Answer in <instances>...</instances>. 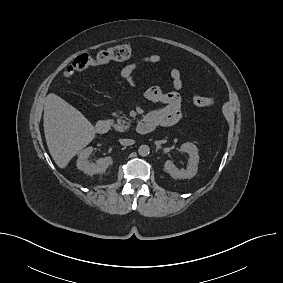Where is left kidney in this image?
I'll return each instance as SVG.
<instances>
[{"instance_id":"1","label":"left kidney","mask_w":283,"mask_h":283,"mask_svg":"<svg viewBox=\"0 0 283 283\" xmlns=\"http://www.w3.org/2000/svg\"><path fill=\"white\" fill-rule=\"evenodd\" d=\"M180 150L189 155V165L187 169L179 170L172 161L167 160L164 164V170L175 179H191L198 171V149L193 143L187 142L181 145Z\"/></svg>"}]
</instances>
